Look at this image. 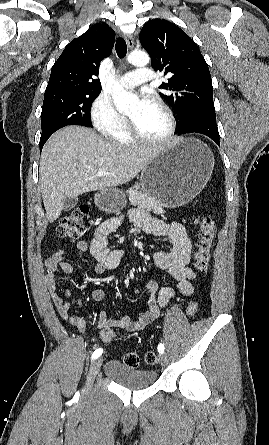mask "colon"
Returning <instances> with one entry per match:
<instances>
[{
	"mask_svg": "<svg viewBox=\"0 0 269 445\" xmlns=\"http://www.w3.org/2000/svg\"><path fill=\"white\" fill-rule=\"evenodd\" d=\"M88 207L80 205L66 213L59 221L57 226V235L65 241H74L80 237L84 229L85 218L88 214ZM196 225L199 229L198 240L196 243L195 266L201 272H207L211 261V251L213 248L216 223L209 216H201L196 219ZM199 305L196 301H191L187 305V313L194 315L198 311ZM107 343L114 340L113 332L105 333ZM144 361L148 365H154L158 361L155 352L148 351L144 356ZM123 363L130 368H137L140 365L139 355L135 352H128L123 357Z\"/></svg>",
	"mask_w": 269,
	"mask_h": 445,
	"instance_id": "obj_1",
	"label": "colon"
}]
</instances>
